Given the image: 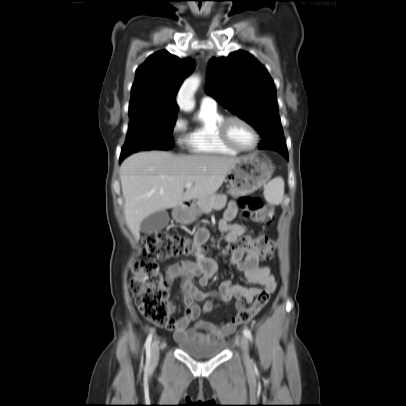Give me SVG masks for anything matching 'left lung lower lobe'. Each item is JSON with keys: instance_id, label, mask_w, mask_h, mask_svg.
<instances>
[{"instance_id": "obj_1", "label": "left lung lower lobe", "mask_w": 406, "mask_h": 406, "mask_svg": "<svg viewBox=\"0 0 406 406\" xmlns=\"http://www.w3.org/2000/svg\"><path fill=\"white\" fill-rule=\"evenodd\" d=\"M281 154H283L286 157V159L288 160V152L281 153Z\"/></svg>"}]
</instances>
